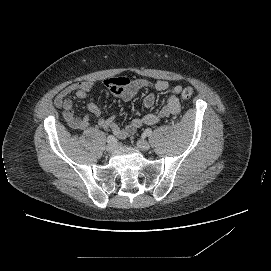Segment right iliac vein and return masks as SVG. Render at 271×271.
Masks as SVG:
<instances>
[{"instance_id":"63e3f726","label":"right iliac vein","mask_w":271,"mask_h":271,"mask_svg":"<svg viewBox=\"0 0 271 271\" xmlns=\"http://www.w3.org/2000/svg\"><path fill=\"white\" fill-rule=\"evenodd\" d=\"M114 149H115V145H114L113 143H109V144L106 146L107 152H112Z\"/></svg>"}]
</instances>
